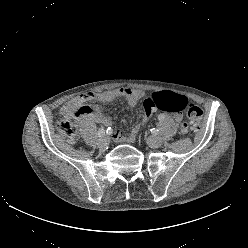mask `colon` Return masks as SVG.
I'll return each mask as SVG.
<instances>
[{
	"instance_id": "colon-1",
	"label": "colon",
	"mask_w": 248,
	"mask_h": 248,
	"mask_svg": "<svg viewBox=\"0 0 248 248\" xmlns=\"http://www.w3.org/2000/svg\"><path fill=\"white\" fill-rule=\"evenodd\" d=\"M157 111L169 113L186 112L189 120V130L196 133L200 130L203 122V111L200 107L190 103L184 96L169 91L157 92L150 95L144 101V122ZM87 112L86 107H81L75 112V116H80ZM57 130L66 137L71 143L77 138L75 126L68 121H60L57 123Z\"/></svg>"
}]
</instances>
